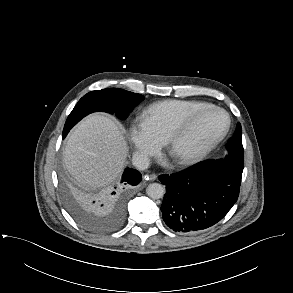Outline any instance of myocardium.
<instances>
[{
  "mask_svg": "<svg viewBox=\"0 0 293 293\" xmlns=\"http://www.w3.org/2000/svg\"><path fill=\"white\" fill-rule=\"evenodd\" d=\"M210 110L218 111L224 114L226 119L224 128L203 146L177 157L175 159L177 164L187 166L202 160L224 139V137L229 132L231 119L227 111L215 105H207L188 115L177 127H175V129L170 133L166 140V146L168 151L171 152L187 135L197 119L205 112Z\"/></svg>",
  "mask_w": 293,
  "mask_h": 293,
  "instance_id": "f54148a6",
  "label": "myocardium"
}]
</instances>
